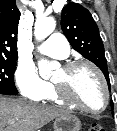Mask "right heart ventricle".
I'll list each match as a JSON object with an SVG mask.
<instances>
[{
	"label": "right heart ventricle",
	"mask_w": 117,
	"mask_h": 131,
	"mask_svg": "<svg viewBox=\"0 0 117 131\" xmlns=\"http://www.w3.org/2000/svg\"><path fill=\"white\" fill-rule=\"evenodd\" d=\"M43 100L49 101L51 103H55L58 105H63L64 102L62 100H60L54 90L53 85L50 84L49 89L47 91V93L44 95V97L42 98Z\"/></svg>",
	"instance_id": "obj_1"
}]
</instances>
